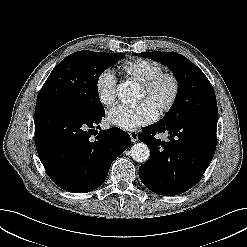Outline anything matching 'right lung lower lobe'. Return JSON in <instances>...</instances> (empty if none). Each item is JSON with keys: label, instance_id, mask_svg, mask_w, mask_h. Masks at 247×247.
I'll list each match as a JSON object with an SVG mask.
<instances>
[{"label": "right lung lower lobe", "instance_id": "right-lung-lower-lobe-1", "mask_svg": "<svg viewBox=\"0 0 247 247\" xmlns=\"http://www.w3.org/2000/svg\"><path fill=\"white\" fill-rule=\"evenodd\" d=\"M104 114H86L56 99L37 101V153L48 176L60 188L73 193L98 188L113 160L130 146L129 134L121 129L94 130L100 128L97 125ZM91 135H97L96 139Z\"/></svg>", "mask_w": 247, "mask_h": 247}]
</instances>
